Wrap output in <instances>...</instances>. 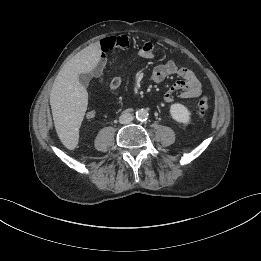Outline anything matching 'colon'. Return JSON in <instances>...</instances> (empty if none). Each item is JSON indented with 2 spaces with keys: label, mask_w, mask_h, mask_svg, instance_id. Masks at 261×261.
<instances>
[{
  "label": "colon",
  "mask_w": 261,
  "mask_h": 261,
  "mask_svg": "<svg viewBox=\"0 0 261 261\" xmlns=\"http://www.w3.org/2000/svg\"><path fill=\"white\" fill-rule=\"evenodd\" d=\"M209 106V99L207 95H203L197 104V113L200 117H203Z\"/></svg>",
  "instance_id": "obj_1"
}]
</instances>
